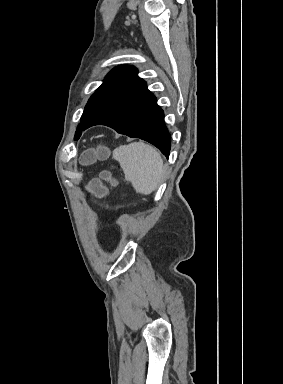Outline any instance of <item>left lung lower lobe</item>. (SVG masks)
Returning <instances> with one entry per match:
<instances>
[{
	"label": "left lung lower lobe",
	"instance_id": "1",
	"mask_svg": "<svg viewBox=\"0 0 283 384\" xmlns=\"http://www.w3.org/2000/svg\"><path fill=\"white\" fill-rule=\"evenodd\" d=\"M94 125H107L120 134L146 140L159 148L167 158L169 157L170 134L164 123V113L145 82L89 123L84 130Z\"/></svg>",
	"mask_w": 283,
	"mask_h": 384
}]
</instances>
